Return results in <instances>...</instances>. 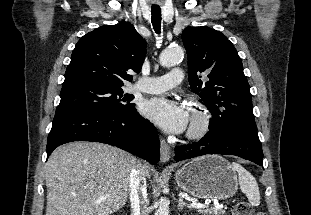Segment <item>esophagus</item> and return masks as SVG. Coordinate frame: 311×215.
I'll return each instance as SVG.
<instances>
[{"label":"esophagus","instance_id":"obj_1","mask_svg":"<svg viewBox=\"0 0 311 215\" xmlns=\"http://www.w3.org/2000/svg\"><path fill=\"white\" fill-rule=\"evenodd\" d=\"M160 154H161V161L163 163H167L171 158V149L170 146L164 139H161L160 142Z\"/></svg>","mask_w":311,"mask_h":215}]
</instances>
